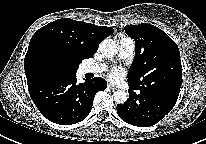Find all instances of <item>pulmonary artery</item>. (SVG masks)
I'll list each match as a JSON object with an SVG mask.
<instances>
[{
    "label": "pulmonary artery",
    "mask_w": 206,
    "mask_h": 144,
    "mask_svg": "<svg viewBox=\"0 0 206 144\" xmlns=\"http://www.w3.org/2000/svg\"><path fill=\"white\" fill-rule=\"evenodd\" d=\"M135 41L129 37H122L118 41V56L121 59H129L133 56ZM105 68L102 64L86 65L82 68L83 73H97Z\"/></svg>",
    "instance_id": "e3ab8cb5"
}]
</instances>
